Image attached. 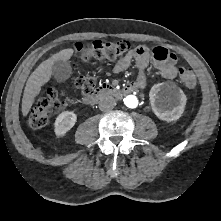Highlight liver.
I'll list each match as a JSON object with an SVG mask.
<instances>
[{"instance_id":"6515ba94","label":"liver","mask_w":221,"mask_h":221,"mask_svg":"<svg viewBox=\"0 0 221 221\" xmlns=\"http://www.w3.org/2000/svg\"><path fill=\"white\" fill-rule=\"evenodd\" d=\"M74 50L67 48L60 50L58 53L53 54L50 58L43 61L30 75L27 80L23 99H22V114L27 116L29 113L35 98L41 91V87L44 86L52 76V66L55 61L62 60L67 61L73 55Z\"/></svg>"}]
</instances>
